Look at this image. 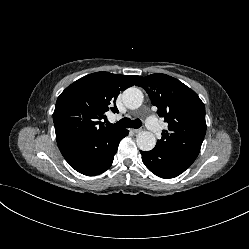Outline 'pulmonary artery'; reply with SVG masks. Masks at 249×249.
Segmentation results:
<instances>
[{
	"instance_id": "e3ab8cb5",
	"label": "pulmonary artery",
	"mask_w": 249,
	"mask_h": 249,
	"mask_svg": "<svg viewBox=\"0 0 249 249\" xmlns=\"http://www.w3.org/2000/svg\"><path fill=\"white\" fill-rule=\"evenodd\" d=\"M146 126L155 135H159L161 132L160 125L157 119L154 117H148L146 119Z\"/></svg>"
}]
</instances>
